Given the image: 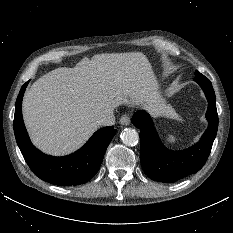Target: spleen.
<instances>
[{"instance_id": "obj_1", "label": "spleen", "mask_w": 233, "mask_h": 233, "mask_svg": "<svg viewBox=\"0 0 233 233\" xmlns=\"http://www.w3.org/2000/svg\"><path fill=\"white\" fill-rule=\"evenodd\" d=\"M176 142V137L172 134L166 137V143L173 145Z\"/></svg>"}]
</instances>
